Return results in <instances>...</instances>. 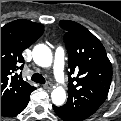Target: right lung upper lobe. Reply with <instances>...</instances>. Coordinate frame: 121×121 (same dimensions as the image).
Segmentation results:
<instances>
[{
    "mask_svg": "<svg viewBox=\"0 0 121 121\" xmlns=\"http://www.w3.org/2000/svg\"><path fill=\"white\" fill-rule=\"evenodd\" d=\"M44 32L43 25L19 19L1 28V113L14 107L36 88L16 71L23 68V50Z\"/></svg>",
    "mask_w": 121,
    "mask_h": 121,
    "instance_id": "cb5924a9",
    "label": "right lung upper lobe"
}]
</instances>
